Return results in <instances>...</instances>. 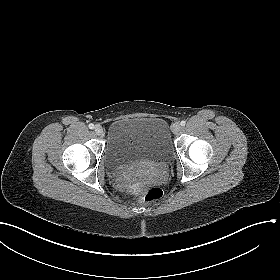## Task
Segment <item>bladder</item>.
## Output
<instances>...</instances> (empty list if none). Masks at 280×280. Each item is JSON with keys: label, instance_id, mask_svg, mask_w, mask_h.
Segmentation results:
<instances>
[{"label": "bladder", "instance_id": "31cf9c89", "mask_svg": "<svg viewBox=\"0 0 280 280\" xmlns=\"http://www.w3.org/2000/svg\"><path fill=\"white\" fill-rule=\"evenodd\" d=\"M172 152L169 127L164 119L121 118L108 127L104 162L110 170L141 161L164 163L170 160Z\"/></svg>", "mask_w": 280, "mask_h": 280}]
</instances>
